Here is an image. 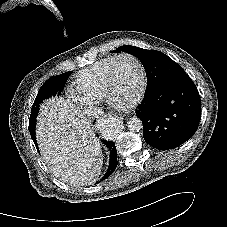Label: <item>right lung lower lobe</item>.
I'll return each instance as SVG.
<instances>
[{"mask_svg":"<svg viewBox=\"0 0 227 227\" xmlns=\"http://www.w3.org/2000/svg\"><path fill=\"white\" fill-rule=\"evenodd\" d=\"M37 109H38V107H37ZM104 143L111 150V152H110L109 167H108L106 174L102 178V180L106 179L107 177H109L114 172V170L117 167V163H118L117 162V151H116L115 143L110 142V141H106V140H104Z\"/></svg>","mask_w":227,"mask_h":227,"instance_id":"obj_1","label":"right lung lower lobe"}]
</instances>
